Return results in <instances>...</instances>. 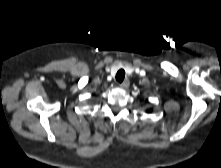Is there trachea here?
Segmentation results:
<instances>
[{
	"label": "trachea",
	"instance_id": "obj_1",
	"mask_svg": "<svg viewBox=\"0 0 221 168\" xmlns=\"http://www.w3.org/2000/svg\"><path fill=\"white\" fill-rule=\"evenodd\" d=\"M124 77H125V71L123 69H120L116 74V80L119 83H122V81L124 80Z\"/></svg>",
	"mask_w": 221,
	"mask_h": 168
}]
</instances>
